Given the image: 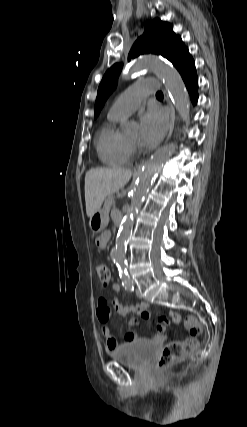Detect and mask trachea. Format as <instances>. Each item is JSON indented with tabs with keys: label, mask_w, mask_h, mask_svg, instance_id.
Returning a JSON list of instances; mask_svg holds the SVG:
<instances>
[{
	"label": "trachea",
	"mask_w": 247,
	"mask_h": 427,
	"mask_svg": "<svg viewBox=\"0 0 247 427\" xmlns=\"http://www.w3.org/2000/svg\"><path fill=\"white\" fill-rule=\"evenodd\" d=\"M156 96L157 97H163V93L159 91V92L156 93Z\"/></svg>",
	"instance_id": "obj_1"
}]
</instances>
